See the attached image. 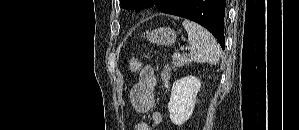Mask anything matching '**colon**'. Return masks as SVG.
Returning a JSON list of instances; mask_svg holds the SVG:
<instances>
[{
    "instance_id": "obj_1",
    "label": "colon",
    "mask_w": 299,
    "mask_h": 130,
    "mask_svg": "<svg viewBox=\"0 0 299 130\" xmlns=\"http://www.w3.org/2000/svg\"><path fill=\"white\" fill-rule=\"evenodd\" d=\"M129 69L132 73H138L141 70V61L138 58H132Z\"/></svg>"
}]
</instances>
